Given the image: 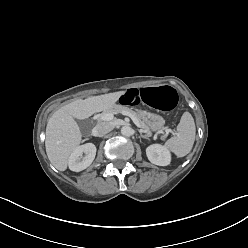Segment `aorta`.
Returning <instances> with one entry per match:
<instances>
[{"mask_svg":"<svg viewBox=\"0 0 248 248\" xmlns=\"http://www.w3.org/2000/svg\"><path fill=\"white\" fill-rule=\"evenodd\" d=\"M121 134L123 136L129 137V136H131L133 134V129L130 126H127V125L123 126L121 128Z\"/></svg>","mask_w":248,"mask_h":248,"instance_id":"obj_1","label":"aorta"}]
</instances>
